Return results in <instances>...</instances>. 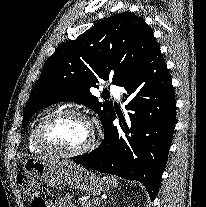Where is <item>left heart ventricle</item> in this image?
I'll return each mask as SVG.
<instances>
[{"label":"left heart ventricle","mask_w":206,"mask_h":207,"mask_svg":"<svg viewBox=\"0 0 206 207\" xmlns=\"http://www.w3.org/2000/svg\"><path fill=\"white\" fill-rule=\"evenodd\" d=\"M43 135L51 145L73 151L84 147L90 141L92 131L81 119L63 118L48 125Z\"/></svg>","instance_id":"1"}]
</instances>
